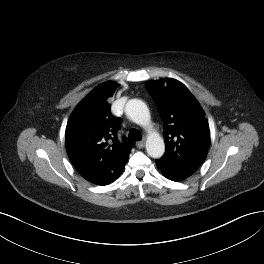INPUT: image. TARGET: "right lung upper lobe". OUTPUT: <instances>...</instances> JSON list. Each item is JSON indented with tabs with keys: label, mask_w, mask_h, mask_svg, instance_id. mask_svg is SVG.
Here are the masks:
<instances>
[{
	"label": "right lung upper lobe",
	"mask_w": 264,
	"mask_h": 264,
	"mask_svg": "<svg viewBox=\"0 0 264 264\" xmlns=\"http://www.w3.org/2000/svg\"><path fill=\"white\" fill-rule=\"evenodd\" d=\"M117 85L114 81L98 85L72 112L65 144L75 168L102 166L115 171L125 166L132 146L125 140L118 141L120 121L110 111V98Z\"/></svg>",
	"instance_id": "obj_1"
}]
</instances>
